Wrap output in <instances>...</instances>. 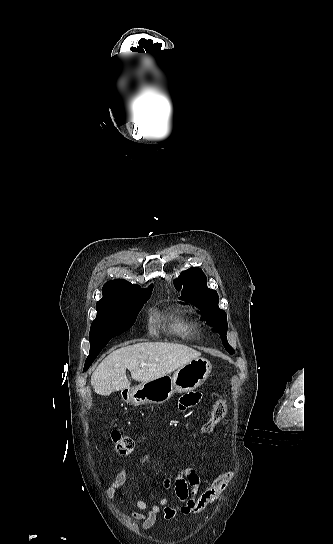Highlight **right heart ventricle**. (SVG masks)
<instances>
[{"mask_svg":"<svg viewBox=\"0 0 333 544\" xmlns=\"http://www.w3.org/2000/svg\"><path fill=\"white\" fill-rule=\"evenodd\" d=\"M174 328L178 333L184 336L190 335L195 331V326L191 323L177 322L174 325Z\"/></svg>","mask_w":333,"mask_h":544,"instance_id":"e07e8e85","label":"right heart ventricle"}]
</instances>
